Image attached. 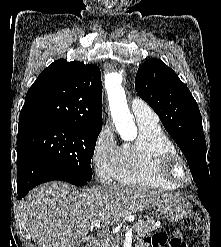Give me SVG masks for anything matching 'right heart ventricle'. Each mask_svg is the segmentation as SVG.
I'll return each mask as SVG.
<instances>
[{
	"instance_id": "obj_1",
	"label": "right heart ventricle",
	"mask_w": 221,
	"mask_h": 247,
	"mask_svg": "<svg viewBox=\"0 0 221 247\" xmlns=\"http://www.w3.org/2000/svg\"><path fill=\"white\" fill-rule=\"evenodd\" d=\"M138 125V137L124 143L119 149L115 179L126 186L178 189L179 185L163 178L156 169V161L161 153H178L174 143L158 123Z\"/></svg>"
}]
</instances>
